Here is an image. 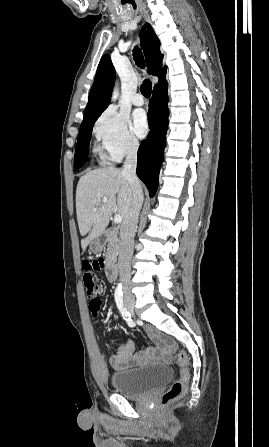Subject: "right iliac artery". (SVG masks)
Listing matches in <instances>:
<instances>
[{
    "instance_id": "1",
    "label": "right iliac artery",
    "mask_w": 269,
    "mask_h": 447,
    "mask_svg": "<svg viewBox=\"0 0 269 447\" xmlns=\"http://www.w3.org/2000/svg\"><path fill=\"white\" fill-rule=\"evenodd\" d=\"M115 301L118 309L121 312V315L123 316V319L126 320L129 326H134L135 324L131 319V314L127 311L126 308L123 307L122 285H118V287L115 290Z\"/></svg>"
}]
</instances>
